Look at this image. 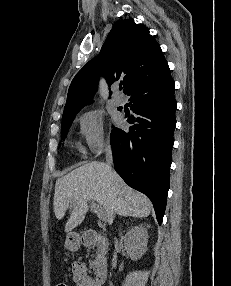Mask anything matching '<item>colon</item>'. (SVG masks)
Here are the masks:
<instances>
[{"instance_id":"obj_1","label":"colon","mask_w":231,"mask_h":286,"mask_svg":"<svg viewBox=\"0 0 231 286\" xmlns=\"http://www.w3.org/2000/svg\"><path fill=\"white\" fill-rule=\"evenodd\" d=\"M56 286H70V285L67 283H60V284H57Z\"/></svg>"}]
</instances>
